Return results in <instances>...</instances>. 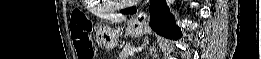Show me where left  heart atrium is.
Wrapping results in <instances>:
<instances>
[{"mask_svg": "<svg viewBox=\"0 0 261 59\" xmlns=\"http://www.w3.org/2000/svg\"><path fill=\"white\" fill-rule=\"evenodd\" d=\"M127 3H134V2H138L137 0H126Z\"/></svg>", "mask_w": 261, "mask_h": 59, "instance_id": "obj_1", "label": "left heart atrium"}]
</instances>
